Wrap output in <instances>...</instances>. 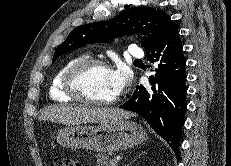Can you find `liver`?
<instances>
[{
    "instance_id": "liver-1",
    "label": "liver",
    "mask_w": 231,
    "mask_h": 166,
    "mask_svg": "<svg viewBox=\"0 0 231 166\" xmlns=\"http://www.w3.org/2000/svg\"><path fill=\"white\" fill-rule=\"evenodd\" d=\"M133 115L117 108L90 107L87 105H52L38 116L39 121H52L66 125L82 123H114Z\"/></svg>"
}]
</instances>
